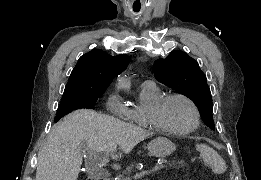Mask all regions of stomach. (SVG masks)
Masks as SVG:
<instances>
[{
    "label": "stomach",
    "mask_w": 261,
    "mask_h": 180,
    "mask_svg": "<svg viewBox=\"0 0 261 180\" xmlns=\"http://www.w3.org/2000/svg\"><path fill=\"white\" fill-rule=\"evenodd\" d=\"M147 148L150 155L160 158L169 156L176 149L173 142L166 137H157L153 139L148 143Z\"/></svg>",
    "instance_id": "stomach-1"
}]
</instances>
